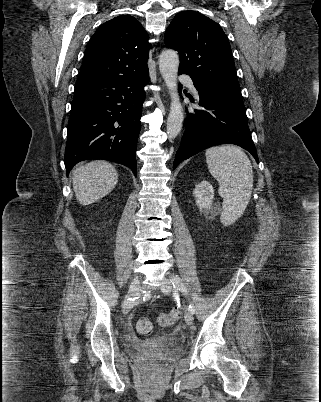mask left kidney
<instances>
[{
    "mask_svg": "<svg viewBox=\"0 0 321 402\" xmlns=\"http://www.w3.org/2000/svg\"><path fill=\"white\" fill-rule=\"evenodd\" d=\"M194 196L196 197V205L200 211L205 209L210 210L214 199V189L208 181L203 180L196 185Z\"/></svg>",
    "mask_w": 321,
    "mask_h": 402,
    "instance_id": "obj_1",
    "label": "left kidney"
}]
</instances>
